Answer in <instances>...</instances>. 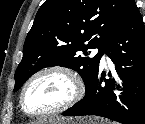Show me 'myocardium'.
<instances>
[{"label": "myocardium", "mask_w": 145, "mask_h": 124, "mask_svg": "<svg viewBox=\"0 0 145 124\" xmlns=\"http://www.w3.org/2000/svg\"><path fill=\"white\" fill-rule=\"evenodd\" d=\"M53 73L62 74L70 80L72 87H73L71 96L66 101H64L62 104L58 105L55 108H52V109H49L46 111H42V112L28 111L24 105V96H25L27 89L30 87V85L34 81H36L41 76L46 75V74H53ZM84 92H85V85H84L82 79L80 78V76L74 70H72L69 67L62 66V65H51V66H47V67H44V68L36 71L33 75H31L27 79V81L22 86V89L19 94V105H20L22 113L24 115H26L27 117L46 118L49 116L60 114L64 111L68 110L72 106H74L78 101L81 100V98L84 95Z\"/></svg>", "instance_id": "1"}]
</instances>
